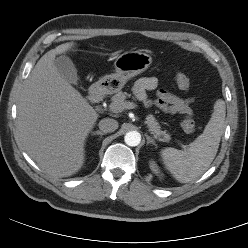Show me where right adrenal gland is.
I'll list each match as a JSON object with an SVG mask.
<instances>
[{"label": "right adrenal gland", "mask_w": 248, "mask_h": 248, "mask_svg": "<svg viewBox=\"0 0 248 248\" xmlns=\"http://www.w3.org/2000/svg\"><path fill=\"white\" fill-rule=\"evenodd\" d=\"M105 134H106V133L101 132V131H99V130L93 132V135H100V137H102V136L105 135Z\"/></svg>", "instance_id": "obj_1"}]
</instances>
